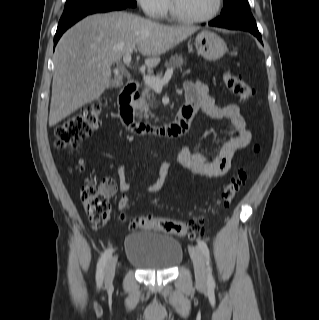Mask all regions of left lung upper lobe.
<instances>
[{"instance_id": "left-lung-upper-lobe-1", "label": "left lung upper lobe", "mask_w": 319, "mask_h": 320, "mask_svg": "<svg viewBox=\"0 0 319 320\" xmlns=\"http://www.w3.org/2000/svg\"><path fill=\"white\" fill-rule=\"evenodd\" d=\"M232 13L251 14L248 0H224V7L220 16H227Z\"/></svg>"}]
</instances>
